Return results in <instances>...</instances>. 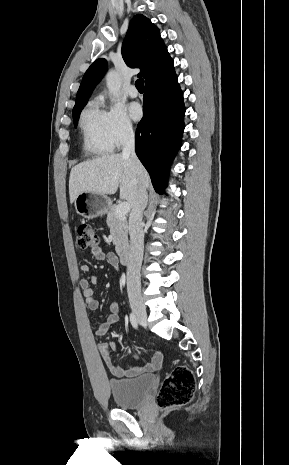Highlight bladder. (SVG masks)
I'll return each instance as SVG.
<instances>
[{
  "label": "bladder",
  "mask_w": 289,
  "mask_h": 465,
  "mask_svg": "<svg viewBox=\"0 0 289 465\" xmlns=\"http://www.w3.org/2000/svg\"><path fill=\"white\" fill-rule=\"evenodd\" d=\"M154 382L155 376L147 374L134 378L111 379L108 384L119 408L136 409L146 402Z\"/></svg>",
  "instance_id": "31cf9c89"
}]
</instances>
